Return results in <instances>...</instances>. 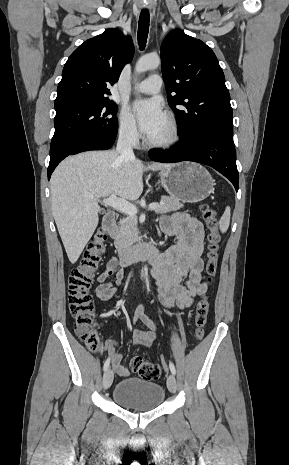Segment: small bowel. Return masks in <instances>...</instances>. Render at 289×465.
Instances as JSON below:
<instances>
[{"label": "small bowel", "mask_w": 289, "mask_h": 465, "mask_svg": "<svg viewBox=\"0 0 289 465\" xmlns=\"http://www.w3.org/2000/svg\"><path fill=\"white\" fill-rule=\"evenodd\" d=\"M161 228L165 233L175 236L177 242L162 253L160 260L153 265L159 299L168 307L188 308L195 297L207 290L201 259L203 226L186 213H176L163 218ZM111 278L113 279L110 280ZM123 278L124 273L118 260L115 257L110 258L105 270L97 277L98 285L94 290L96 297L101 301L114 297ZM133 322H142L149 327V330L133 329L134 345L151 346L156 339L157 328L144 314L143 309L135 313ZM108 351L115 372L121 377H128L130 370L122 365V354L117 350L114 341L109 342Z\"/></svg>", "instance_id": "1"}]
</instances>
